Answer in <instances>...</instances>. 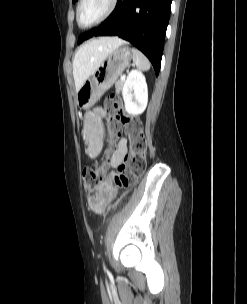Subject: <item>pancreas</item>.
I'll list each match as a JSON object with an SVG mask.
<instances>
[{
  "instance_id": "cf45deb5",
  "label": "pancreas",
  "mask_w": 247,
  "mask_h": 304,
  "mask_svg": "<svg viewBox=\"0 0 247 304\" xmlns=\"http://www.w3.org/2000/svg\"><path fill=\"white\" fill-rule=\"evenodd\" d=\"M123 84H124V80L123 81L120 80L115 83V88L117 93H119L122 90Z\"/></svg>"
}]
</instances>
